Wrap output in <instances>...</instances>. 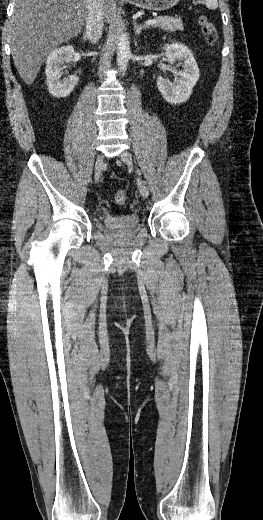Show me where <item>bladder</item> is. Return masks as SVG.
<instances>
[{"mask_svg": "<svg viewBox=\"0 0 263 520\" xmlns=\"http://www.w3.org/2000/svg\"><path fill=\"white\" fill-rule=\"evenodd\" d=\"M106 228L112 231H130L140 224V217L136 213L107 215L104 217Z\"/></svg>", "mask_w": 263, "mask_h": 520, "instance_id": "obj_1", "label": "bladder"}]
</instances>
